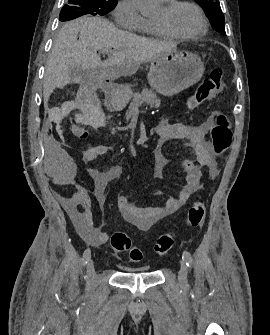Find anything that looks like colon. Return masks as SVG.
<instances>
[{"instance_id":"5ec220e1","label":"colon","mask_w":270,"mask_h":335,"mask_svg":"<svg viewBox=\"0 0 270 335\" xmlns=\"http://www.w3.org/2000/svg\"><path fill=\"white\" fill-rule=\"evenodd\" d=\"M222 85L223 69H212L205 76L195 94L186 102L187 108L193 109L208 101L221 91ZM73 134L79 139H86L88 137V131L82 127L77 128ZM211 139L216 155H222L230 148L232 135L230 120L227 115L219 114L216 117L215 125L211 130ZM204 217L205 207L203 202L195 201L185 216V224L188 227H200ZM174 245L175 235L173 233H165L158 238L153 247V251L156 255H165L173 249ZM110 247L118 253L128 252L129 260L133 263H140L144 259L143 251L132 246L129 236L124 231H117L112 235Z\"/></svg>"}]
</instances>
